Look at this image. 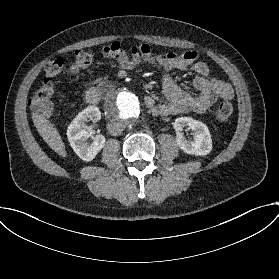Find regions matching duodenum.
<instances>
[{
    "label": "duodenum",
    "mask_w": 279,
    "mask_h": 279,
    "mask_svg": "<svg viewBox=\"0 0 279 279\" xmlns=\"http://www.w3.org/2000/svg\"><path fill=\"white\" fill-rule=\"evenodd\" d=\"M115 86L113 81H104L98 86L89 88L85 94L86 102L90 105L98 103L100 98L110 94L115 89Z\"/></svg>",
    "instance_id": "1"
}]
</instances>
